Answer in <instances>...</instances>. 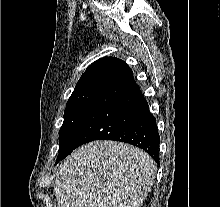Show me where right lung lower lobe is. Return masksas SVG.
Returning a JSON list of instances; mask_svg holds the SVG:
<instances>
[{
  "label": "right lung lower lobe",
  "instance_id": "1",
  "mask_svg": "<svg viewBox=\"0 0 220 207\" xmlns=\"http://www.w3.org/2000/svg\"><path fill=\"white\" fill-rule=\"evenodd\" d=\"M101 139L135 145L159 162L160 137L156 119L150 113L130 68L103 82L60 160L80 145Z\"/></svg>",
  "mask_w": 220,
  "mask_h": 207
}]
</instances>
